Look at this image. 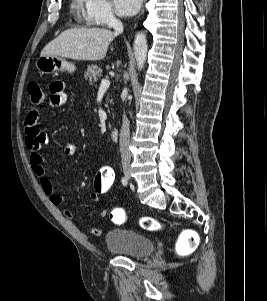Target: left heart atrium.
<instances>
[{
	"label": "left heart atrium",
	"mask_w": 267,
	"mask_h": 301,
	"mask_svg": "<svg viewBox=\"0 0 267 301\" xmlns=\"http://www.w3.org/2000/svg\"><path fill=\"white\" fill-rule=\"evenodd\" d=\"M142 0H114L117 13L120 16H132L139 10Z\"/></svg>",
	"instance_id": "1"
}]
</instances>
